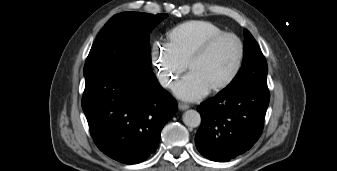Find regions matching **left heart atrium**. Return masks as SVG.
Instances as JSON below:
<instances>
[{"label":"left heart atrium","mask_w":337,"mask_h":171,"mask_svg":"<svg viewBox=\"0 0 337 171\" xmlns=\"http://www.w3.org/2000/svg\"><path fill=\"white\" fill-rule=\"evenodd\" d=\"M207 86L195 73L190 72L174 86L175 94L185 100L203 97L209 91Z\"/></svg>","instance_id":"left-heart-atrium-1"}]
</instances>
